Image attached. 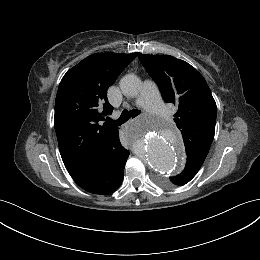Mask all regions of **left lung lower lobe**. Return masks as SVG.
<instances>
[{"label":"left lung lower lobe","mask_w":260,"mask_h":260,"mask_svg":"<svg viewBox=\"0 0 260 260\" xmlns=\"http://www.w3.org/2000/svg\"><path fill=\"white\" fill-rule=\"evenodd\" d=\"M201 166L202 164L197 162L196 160L188 159L186 161L185 168L182 171V173L175 177H170V181L174 185H179V186L185 185L196 175V173L199 171Z\"/></svg>","instance_id":"obj_1"}]
</instances>
